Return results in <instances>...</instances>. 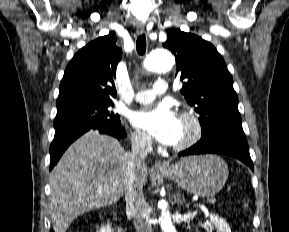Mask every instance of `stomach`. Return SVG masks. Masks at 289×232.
<instances>
[{
  "instance_id": "obj_1",
  "label": "stomach",
  "mask_w": 289,
  "mask_h": 232,
  "mask_svg": "<svg viewBox=\"0 0 289 232\" xmlns=\"http://www.w3.org/2000/svg\"><path fill=\"white\" fill-rule=\"evenodd\" d=\"M159 175L173 180L190 194L211 197L225 185L228 167L215 155L190 156L160 171Z\"/></svg>"
}]
</instances>
